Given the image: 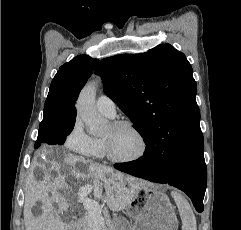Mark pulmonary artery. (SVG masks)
<instances>
[{
    "instance_id": "e3ab8cb5",
    "label": "pulmonary artery",
    "mask_w": 241,
    "mask_h": 230,
    "mask_svg": "<svg viewBox=\"0 0 241 230\" xmlns=\"http://www.w3.org/2000/svg\"><path fill=\"white\" fill-rule=\"evenodd\" d=\"M97 110L110 118L115 117L116 114V105L115 102L107 95H101L96 101Z\"/></svg>"
}]
</instances>
